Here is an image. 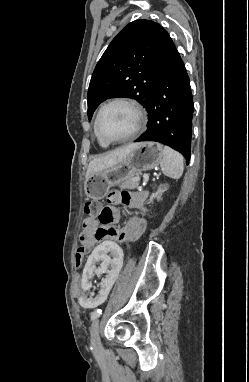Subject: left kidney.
Returning a JSON list of instances; mask_svg holds the SVG:
<instances>
[{
	"instance_id": "5707ae66",
	"label": "left kidney",
	"mask_w": 249,
	"mask_h": 382,
	"mask_svg": "<svg viewBox=\"0 0 249 382\" xmlns=\"http://www.w3.org/2000/svg\"><path fill=\"white\" fill-rule=\"evenodd\" d=\"M168 188L169 184H161L157 192L153 189L150 193L160 200ZM153 196L149 199L152 203L156 200ZM115 244L114 240H101L100 245H95V250L88 257L77 295L81 309L104 307L110 287L117 286L116 277L122 272L123 251L122 245ZM100 277H103L102 280Z\"/></svg>"
}]
</instances>
